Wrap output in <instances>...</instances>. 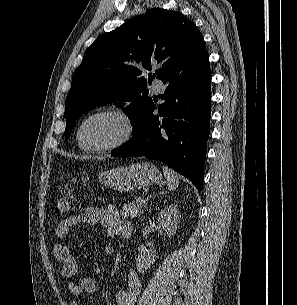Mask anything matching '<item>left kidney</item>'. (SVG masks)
Wrapping results in <instances>:
<instances>
[{"label": "left kidney", "instance_id": "5707ae66", "mask_svg": "<svg viewBox=\"0 0 297 305\" xmlns=\"http://www.w3.org/2000/svg\"><path fill=\"white\" fill-rule=\"evenodd\" d=\"M179 211L178 205L172 204L161 210L158 216V225L171 237L176 233L178 227ZM156 252L147 249L144 245L139 246V254L137 258V270L145 272L155 262Z\"/></svg>", "mask_w": 297, "mask_h": 305}]
</instances>
